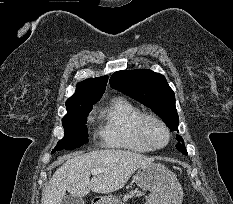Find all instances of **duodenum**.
<instances>
[{
  "instance_id": "410a0bca",
  "label": "duodenum",
  "mask_w": 233,
  "mask_h": 204,
  "mask_svg": "<svg viewBox=\"0 0 233 204\" xmlns=\"http://www.w3.org/2000/svg\"><path fill=\"white\" fill-rule=\"evenodd\" d=\"M93 204H102L101 200L100 199H95L93 201Z\"/></svg>"
}]
</instances>
